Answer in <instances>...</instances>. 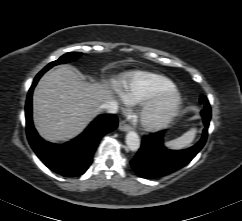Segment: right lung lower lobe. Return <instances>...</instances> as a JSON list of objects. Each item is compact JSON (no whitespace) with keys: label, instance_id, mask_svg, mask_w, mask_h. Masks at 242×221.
<instances>
[{"label":"right lung lower lobe","instance_id":"right-lung-lower-lobe-1","mask_svg":"<svg viewBox=\"0 0 242 221\" xmlns=\"http://www.w3.org/2000/svg\"><path fill=\"white\" fill-rule=\"evenodd\" d=\"M44 73L41 71L35 77L27 95L25 115L28 141L49 169L64 177L80 176L91 165L100 138L117 128V117L112 114L98 116L81 135L64 145L43 140L33 126L31 101L33 89Z\"/></svg>","mask_w":242,"mask_h":221}]
</instances>
